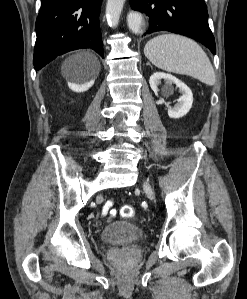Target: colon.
<instances>
[{
  "label": "colon",
  "instance_id": "5ec220e1",
  "mask_svg": "<svg viewBox=\"0 0 247 299\" xmlns=\"http://www.w3.org/2000/svg\"><path fill=\"white\" fill-rule=\"evenodd\" d=\"M121 216L124 218H133L135 215V209L131 205H124L120 210Z\"/></svg>",
  "mask_w": 247,
  "mask_h": 299
}]
</instances>
